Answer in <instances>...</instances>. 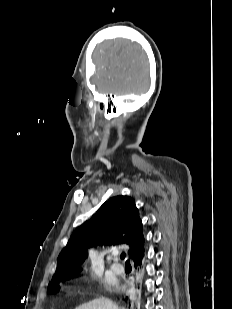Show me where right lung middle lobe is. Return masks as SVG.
I'll return each instance as SVG.
<instances>
[{"label": "right lung middle lobe", "mask_w": 232, "mask_h": 309, "mask_svg": "<svg viewBox=\"0 0 232 309\" xmlns=\"http://www.w3.org/2000/svg\"><path fill=\"white\" fill-rule=\"evenodd\" d=\"M55 284H57V283H55ZM51 287H52L51 291H48V292H53V293H57L58 292V289H59L58 287H56V286H51Z\"/></svg>", "instance_id": "dd1d6c3e"}]
</instances>
